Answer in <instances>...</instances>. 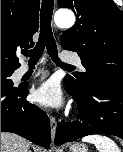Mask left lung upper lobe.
<instances>
[{"label": "left lung upper lobe", "instance_id": "obj_1", "mask_svg": "<svg viewBox=\"0 0 123 152\" xmlns=\"http://www.w3.org/2000/svg\"><path fill=\"white\" fill-rule=\"evenodd\" d=\"M77 17L62 34L63 49L81 57L85 72L65 79L84 92L98 82L123 81V11L112 0H58Z\"/></svg>", "mask_w": 123, "mask_h": 152}]
</instances>
